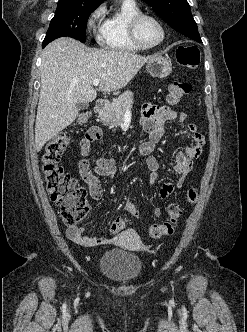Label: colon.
<instances>
[{"mask_svg": "<svg viewBox=\"0 0 247 332\" xmlns=\"http://www.w3.org/2000/svg\"><path fill=\"white\" fill-rule=\"evenodd\" d=\"M176 58L180 65L187 68H196L200 61V53L196 47L180 46L176 51ZM192 86L187 82H173L168 87L167 101L175 105L188 95ZM91 116L90 112L80 114L78 122L85 124ZM69 137L65 132L56 134L46 145L42 155V171L45 177L47 191L53 203L60 208V214L67 225H76L84 219L89 212L87 192L76 178L66 173L60 164V159L67 148ZM198 189L190 187L186 194L187 203L193 204L197 201ZM168 218L159 224H152L148 228V235L153 239L171 236L182 215V209L178 204L172 203L167 207ZM126 222L122 218H115L110 225L112 233L122 231Z\"/></svg>", "mask_w": 247, "mask_h": 332, "instance_id": "5ec220e1", "label": "colon"}]
</instances>
